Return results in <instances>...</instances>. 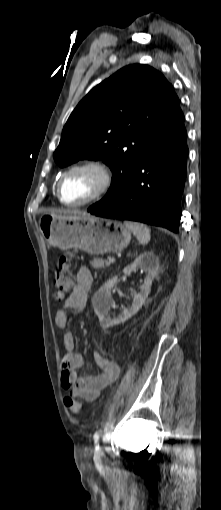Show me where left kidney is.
<instances>
[{
  "label": "left kidney",
  "mask_w": 221,
  "mask_h": 510,
  "mask_svg": "<svg viewBox=\"0 0 221 510\" xmlns=\"http://www.w3.org/2000/svg\"><path fill=\"white\" fill-rule=\"evenodd\" d=\"M136 268H140L146 272V277L140 292L134 295L133 303L128 309H124L122 313L115 319L107 317L108 312L113 307L114 300L111 296V290L117 282L118 276L109 279L93 296L92 306L95 314L99 318L100 326L107 329L114 325L124 323L133 315H135L142 305L145 303L146 298L151 290V285L154 277L156 276L159 268V260L151 251H146L140 254L130 265L123 269V273H130Z\"/></svg>",
  "instance_id": "5707ae66"
}]
</instances>
